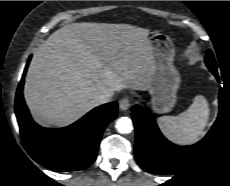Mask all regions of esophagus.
Here are the masks:
<instances>
[{
    "label": "esophagus",
    "mask_w": 230,
    "mask_h": 186,
    "mask_svg": "<svg viewBox=\"0 0 230 186\" xmlns=\"http://www.w3.org/2000/svg\"><path fill=\"white\" fill-rule=\"evenodd\" d=\"M130 107L129 100L127 98H123L119 101V108L122 111H126Z\"/></svg>",
    "instance_id": "1"
}]
</instances>
